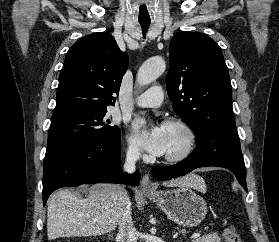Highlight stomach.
<instances>
[{"label": "stomach", "mask_w": 279, "mask_h": 242, "mask_svg": "<svg viewBox=\"0 0 279 242\" xmlns=\"http://www.w3.org/2000/svg\"><path fill=\"white\" fill-rule=\"evenodd\" d=\"M146 195L173 222L184 227L199 225L207 214L205 200L190 187L180 186Z\"/></svg>", "instance_id": "1"}]
</instances>
